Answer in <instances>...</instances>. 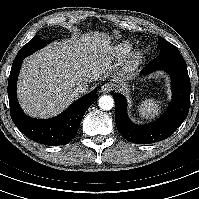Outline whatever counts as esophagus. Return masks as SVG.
Returning <instances> with one entry per match:
<instances>
[{
	"instance_id": "esophagus-1",
	"label": "esophagus",
	"mask_w": 199,
	"mask_h": 199,
	"mask_svg": "<svg viewBox=\"0 0 199 199\" xmlns=\"http://www.w3.org/2000/svg\"><path fill=\"white\" fill-rule=\"evenodd\" d=\"M113 90V85L111 83H105L101 86L100 92L101 93H109Z\"/></svg>"
}]
</instances>
